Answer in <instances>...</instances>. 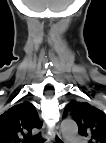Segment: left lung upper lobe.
<instances>
[{"instance_id":"1","label":"left lung upper lobe","mask_w":106,"mask_h":143,"mask_svg":"<svg viewBox=\"0 0 106 143\" xmlns=\"http://www.w3.org/2000/svg\"><path fill=\"white\" fill-rule=\"evenodd\" d=\"M71 113L78 125L80 135L90 139L91 143H106V114L86 102L72 100L64 110Z\"/></svg>"}]
</instances>
